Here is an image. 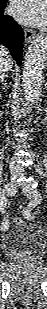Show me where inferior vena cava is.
<instances>
[{
  "label": "inferior vena cava",
  "instance_id": "1",
  "mask_svg": "<svg viewBox=\"0 0 47 309\" xmlns=\"http://www.w3.org/2000/svg\"><path fill=\"white\" fill-rule=\"evenodd\" d=\"M1 53H2V57L4 56L5 58L1 59L0 71H1V73H5L6 71L12 69L13 63H12V59H11L8 51H6L4 49V47H1ZM18 169H19V167H18Z\"/></svg>",
  "mask_w": 47,
  "mask_h": 309
}]
</instances>
